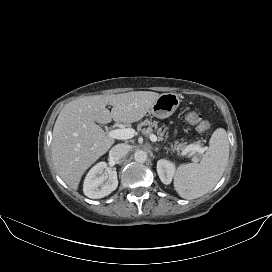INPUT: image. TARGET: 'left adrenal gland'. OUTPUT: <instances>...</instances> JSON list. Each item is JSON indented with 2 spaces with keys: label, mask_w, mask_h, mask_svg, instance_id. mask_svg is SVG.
<instances>
[{
  "label": "left adrenal gland",
  "mask_w": 272,
  "mask_h": 272,
  "mask_svg": "<svg viewBox=\"0 0 272 272\" xmlns=\"http://www.w3.org/2000/svg\"><path fill=\"white\" fill-rule=\"evenodd\" d=\"M158 150H159V148H156V149H155V151H158Z\"/></svg>",
  "instance_id": "a2214340"
}]
</instances>
